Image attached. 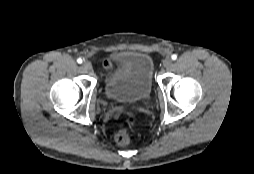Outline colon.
I'll return each instance as SVG.
<instances>
[{
  "label": "colon",
  "instance_id": "5ec220e1",
  "mask_svg": "<svg viewBox=\"0 0 254 174\" xmlns=\"http://www.w3.org/2000/svg\"><path fill=\"white\" fill-rule=\"evenodd\" d=\"M137 120L134 116H129L120 122L114 132V140L119 145H126L130 141V136L134 130Z\"/></svg>",
  "mask_w": 254,
  "mask_h": 174
}]
</instances>
